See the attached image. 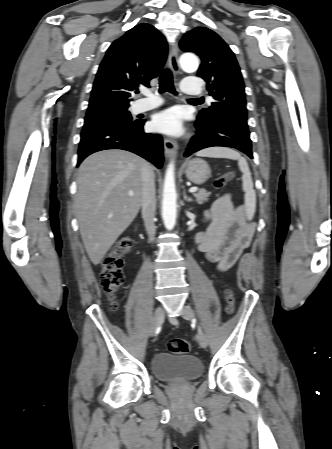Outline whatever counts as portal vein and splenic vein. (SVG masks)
Wrapping results in <instances>:
<instances>
[{"label":"portal vein and splenic vein","instance_id":"18ae733b","mask_svg":"<svg viewBox=\"0 0 332 449\" xmlns=\"http://www.w3.org/2000/svg\"><path fill=\"white\" fill-rule=\"evenodd\" d=\"M197 190H198L197 187H192V188L189 189V192H190V193H194V192H196ZM133 195H134L133 192H129V196H133Z\"/></svg>","mask_w":332,"mask_h":449}]
</instances>
